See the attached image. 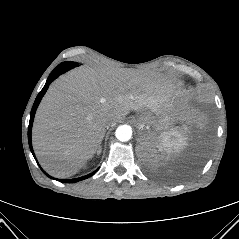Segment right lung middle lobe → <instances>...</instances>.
Here are the masks:
<instances>
[{
    "instance_id": "right-lung-middle-lobe-1",
    "label": "right lung middle lobe",
    "mask_w": 239,
    "mask_h": 239,
    "mask_svg": "<svg viewBox=\"0 0 239 239\" xmlns=\"http://www.w3.org/2000/svg\"><path fill=\"white\" fill-rule=\"evenodd\" d=\"M78 66V63L76 62H71V61H66L63 62L61 64H59L53 71L51 74H55L57 76H59L62 73H65L66 71H68L69 69H72L73 67Z\"/></svg>"
}]
</instances>
